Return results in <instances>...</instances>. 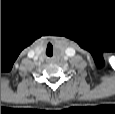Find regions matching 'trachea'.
Here are the masks:
<instances>
[{
    "label": "trachea",
    "mask_w": 115,
    "mask_h": 114,
    "mask_svg": "<svg viewBox=\"0 0 115 114\" xmlns=\"http://www.w3.org/2000/svg\"><path fill=\"white\" fill-rule=\"evenodd\" d=\"M52 53H53V46L51 44H48L46 54L48 56H52Z\"/></svg>",
    "instance_id": "trachea-1"
}]
</instances>
